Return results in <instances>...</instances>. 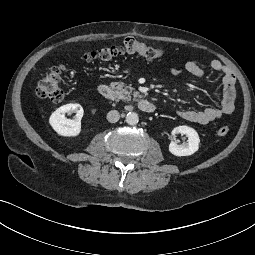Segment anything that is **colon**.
Returning a JSON list of instances; mask_svg holds the SVG:
<instances>
[{
    "mask_svg": "<svg viewBox=\"0 0 255 255\" xmlns=\"http://www.w3.org/2000/svg\"><path fill=\"white\" fill-rule=\"evenodd\" d=\"M122 53H137L147 59H158L162 57L163 51L160 48L139 42L135 38L128 37L119 45L103 47L99 50L89 52L83 56L84 59L107 60ZM64 67H52L37 83L35 93L39 98L47 99L52 102H60L64 93L61 88ZM229 128L221 126L217 133L219 136L228 134Z\"/></svg>",
    "mask_w": 255,
    "mask_h": 255,
    "instance_id": "1",
    "label": "colon"
}]
</instances>
